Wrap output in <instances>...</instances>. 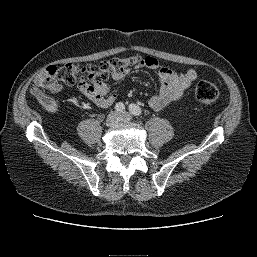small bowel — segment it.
I'll return each mask as SVG.
<instances>
[{"label":"small bowel","mask_w":257,"mask_h":257,"mask_svg":"<svg viewBox=\"0 0 257 257\" xmlns=\"http://www.w3.org/2000/svg\"><path fill=\"white\" fill-rule=\"evenodd\" d=\"M138 67H145L158 71L160 82L159 91L157 94L153 95L148 102L149 106L155 111H161L180 99L197 78V73L193 69H189L185 73L177 75L169 68L160 67L158 60L150 56L145 57ZM129 72L130 69L124 74H116L112 77L115 80H121ZM61 89L62 87L57 85L54 92H59ZM80 90L86 98L93 101L101 108L111 106L116 99V95L111 93L112 86L104 82H95L90 85L81 86Z\"/></svg>","instance_id":"obj_1"}]
</instances>
